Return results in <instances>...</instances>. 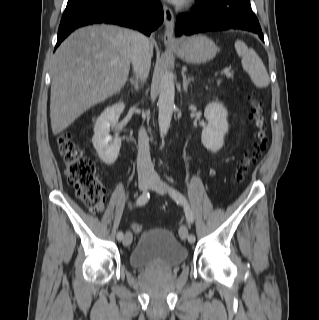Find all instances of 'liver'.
Returning <instances> with one entry per match:
<instances>
[{"label": "liver", "instance_id": "obj_1", "mask_svg": "<svg viewBox=\"0 0 319 320\" xmlns=\"http://www.w3.org/2000/svg\"><path fill=\"white\" fill-rule=\"evenodd\" d=\"M132 33L114 25H91L77 29L58 47L51 67L54 135L123 88L132 62Z\"/></svg>", "mask_w": 319, "mask_h": 320}]
</instances>
